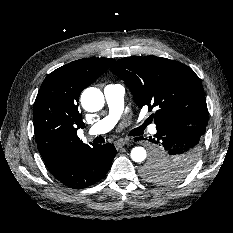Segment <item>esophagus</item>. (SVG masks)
Segmentation results:
<instances>
[{
	"mask_svg": "<svg viewBox=\"0 0 233 233\" xmlns=\"http://www.w3.org/2000/svg\"><path fill=\"white\" fill-rule=\"evenodd\" d=\"M128 140L127 139H119L115 142V147L116 149L122 148L125 144H127Z\"/></svg>",
	"mask_w": 233,
	"mask_h": 233,
	"instance_id": "1",
	"label": "esophagus"
}]
</instances>
